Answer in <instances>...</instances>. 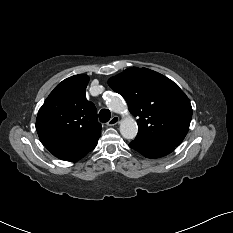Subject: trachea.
<instances>
[{
    "label": "trachea",
    "instance_id": "trachea-1",
    "mask_svg": "<svg viewBox=\"0 0 233 233\" xmlns=\"http://www.w3.org/2000/svg\"><path fill=\"white\" fill-rule=\"evenodd\" d=\"M111 113L108 109H101L99 112V119L101 122L106 123L110 120Z\"/></svg>",
    "mask_w": 233,
    "mask_h": 233
}]
</instances>
